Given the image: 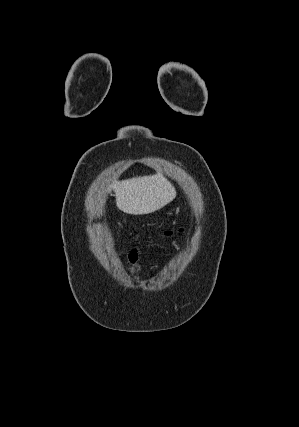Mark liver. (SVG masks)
<instances>
[{
    "label": "liver",
    "mask_w": 299,
    "mask_h": 427,
    "mask_svg": "<svg viewBox=\"0 0 299 427\" xmlns=\"http://www.w3.org/2000/svg\"><path fill=\"white\" fill-rule=\"evenodd\" d=\"M111 188L115 192L117 207L132 215L155 212L176 197L174 186L160 173L115 181Z\"/></svg>",
    "instance_id": "6515ba94"
}]
</instances>
